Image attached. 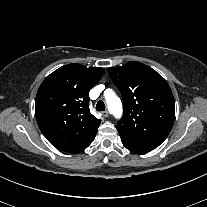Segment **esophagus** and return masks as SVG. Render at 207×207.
Masks as SVG:
<instances>
[{"label": "esophagus", "instance_id": "1", "mask_svg": "<svg viewBox=\"0 0 207 207\" xmlns=\"http://www.w3.org/2000/svg\"><path fill=\"white\" fill-rule=\"evenodd\" d=\"M103 116H104V117H108V116H109V112H108L107 110L104 111V112H103Z\"/></svg>", "mask_w": 207, "mask_h": 207}]
</instances>
